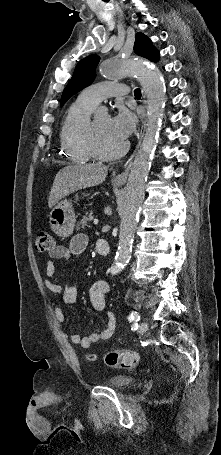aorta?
<instances>
[{
    "label": "aorta",
    "mask_w": 221,
    "mask_h": 455,
    "mask_svg": "<svg viewBox=\"0 0 221 455\" xmlns=\"http://www.w3.org/2000/svg\"><path fill=\"white\" fill-rule=\"evenodd\" d=\"M99 71L104 78L111 80L125 76H137L147 97L146 130L140 150L132 164L120 212L118 250L112 266L113 272H118L125 267L131 257L134 233L144 200L145 183L162 126L166 90L161 71L150 61L140 57L104 61L100 65ZM106 113L107 109L101 107L97 110L96 115Z\"/></svg>",
    "instance_id": "762f6f07"
}]
</instances>
